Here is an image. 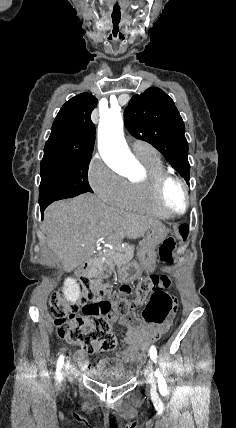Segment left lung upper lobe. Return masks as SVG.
Returning <instances> with one entry per match:
<instances>
[{
  "instance_id": "left-lung-upper-lobe-1",
  "label": "left lung upper lobe",
  "mask_w": 236,
  "mask_h": 428,
  "mask_svg": "<svg viewBox=\"0 0 236 428\" xmlns=\"http://www.w3.org/2000/svg\"><path fill=\"white\" fill-rule=\"evenodd\" d=\"M128 131L158 149L189 184L188 143L183 120L173 100L151 87L134 95L124 112Z\"/></svg>"
}]
</instances>
